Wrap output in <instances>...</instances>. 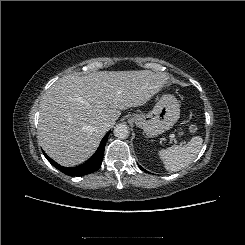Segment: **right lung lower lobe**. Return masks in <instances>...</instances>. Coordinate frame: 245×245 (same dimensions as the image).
<instances>
[{"label": "right lung lower lobe", "instance_id": "1", "mask_svg": "<svg viewBox=\"0 0 245 245\" xmlns=\"http://www.w3.org/2000/svg\"><path fill=\"white\" fill-rule=\"evenodd\" d=\"M109 133L105 135L103 140L101 141V144L95 153V155L88 160L86 163H83L82 165L76 166V167H63L59 164H57L54 160H52L49 156H47L44 152L45 157L47 160L57 169L62 171L63 173L70 175V176H84L90 173H93L96 171L102 164L103 160V154L105 149V144L107 141Z\"/></svg>", "mask_w": 245, "mask_h": 245}]
</instances>
